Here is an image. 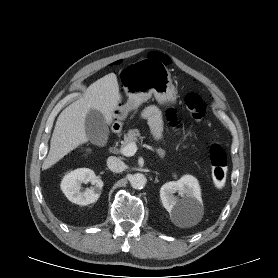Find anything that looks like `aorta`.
Listing matches in <instances>:
<instances>
[{
    "label": "aorta",
    "mask_w": 278,
    "mask_h": 278,
    "mask_svg": "<svg viewBox=\"0 0 278 278\" xmlns=\"http://www.w3.org/2000/svg\"><path fill=\"white\" fill-rule=\"evenodd\" d=\"M146 181V177L141 173H136L130 178V184L134 189H142L145 186Z\"/></svg>",
    "instance_id": "1"
}]
</instances>
